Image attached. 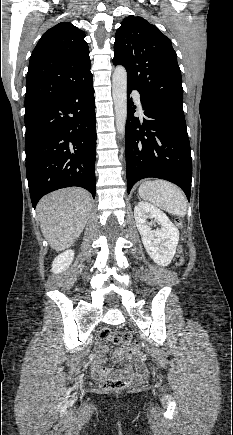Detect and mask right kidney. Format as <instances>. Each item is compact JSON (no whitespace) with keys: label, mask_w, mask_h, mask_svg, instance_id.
<instances>
[{"label":"right kidney","mask_w":233,"mask_h":435,"mask_svg":"<svg viewBox=\"0 0 233 435\" xmlns=\"http://www.w3.org/2000/svg\"><path fill=\"white\" fill-rule=\"evenodd\" d=\"M74 259V251L66 250L65 252L59 254L52 263V272L54 274L61 273L65 271L72 263Z\"/></svg>","instance_id":"right-kidney-1"}]
</instances>
